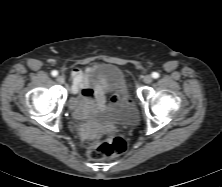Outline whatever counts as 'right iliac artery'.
Wrapping results in <instances>:
<instances>
[{"mask_svg": "<svg viewBox=\"0 0 222 187\" xmlns=\"http://www.w3.org/2000/svg\"><path fill=\"white\" fill-rule=\"evenodd\" d=\"M51 74H52V76H54V77H55V76H57V75H58V72H57L56 70H54V71H52V72H51Z\"/></svg>", "mask_w": 222, "mask_h": 187, "instance_id": "1", "label": "right iliac artery"}]
</instances>
